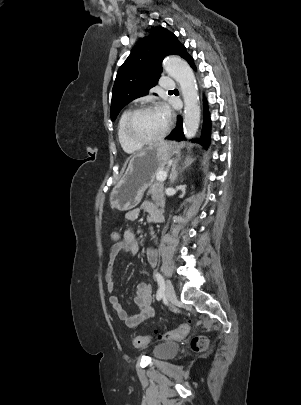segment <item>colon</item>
<instances>
[{
  "instance_id": "obj_1",
  "label": "colon",
  "mask_w": 301,
  "mask_h": 405,
  "mask_svg": "<svg viewBox=\"0 0 301 405\" xmlns=\"http://www.w3.org/2000/svg\"><path fill=\"white\" fill-rule=\"evenodd\" d=\"M119 233L117 231H114L110 234V240L112 243H118L119 242ZM189 332V324L188 323H183L181 324L178 328L173 329V330H167V331H154V335L157 336L159 339L162 340H174V339H180L183 338L184 336L187 335ZM152 338V335H146V336H136L133 338V344L136 347H142L145 346L150 342ZM191 349L195 352L203 351L207 348L208 346V340L204 336H195L191 339L190 342Z\"/></svg>"
}]
</instances>
